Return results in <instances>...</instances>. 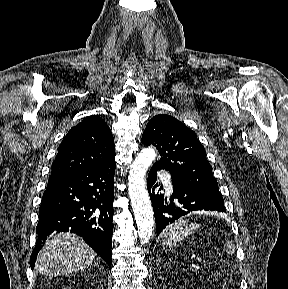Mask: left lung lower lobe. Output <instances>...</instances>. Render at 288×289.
<instances>
[{"mask_svg": "<svg viewBox=\"0 0 288 289\" xmlns=\"http://www.w3.org/2000/svg\"><path fill=\"white\" fill-rule=\"evenodd\" d=\"M160 169L154 164L148 174L147 181V188L155 215L157 236L169 224L188 214L190 211L210 210L225 212L223 199L174 181H172L173 194L169 200L164 199V195L156 194L155 189L160 185V183H156L157 171Z\"/></svg>", "mask_w": 288, "mask_h": 289, "instance_id": "1", "label": "left lung lower lobe"}]
</instances>
